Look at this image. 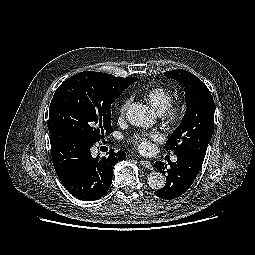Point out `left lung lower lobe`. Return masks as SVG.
<instances>
[{
    "instance_id": "left-lung-lower-lobe-1",
    "label": "left lung lower lobe",
    "mask_w": 255,
    "mask_h": 255,
    "mask_svg": "<svg viewBox=\"0 0 255 255\" xmlns=\"http://www.w3.org/2000/svg\"><path fill=\"white\" fill-rule=\"evenodd\" d=\"M177 157L175 163H168L170 168H167L164 162H155V167L166 174L165 186L154 192L161 199L170 200L184 194L196 179L205 156L187 152L178 154Z\"/></svg>"
}]
</instances>
